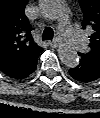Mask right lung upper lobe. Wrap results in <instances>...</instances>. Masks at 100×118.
<instances>
[{"instance_id": "obj_1", "label": "right lung upper lobe", "mask_w": 100, "mask_h": 118, "mask_svg": "<svg viewBox=\"0 0 100 118\" xmlns=\"http://www.w3.org/2000/svg\"><path fill=\"white\" fill-rule=\"evenodd\" d=\"M27 2L0 0V69L15 79L26 77L42 52L33 41L24 12Z\"/></svg>"}]
</instances>
